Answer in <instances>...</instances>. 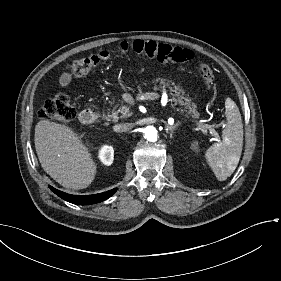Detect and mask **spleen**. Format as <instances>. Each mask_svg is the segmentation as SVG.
<instances>
[{"mask_svg":"<svg viewBox=\"0 0 281 281\" xmlns=\"http://www.w3.org/2000/svg\"><path fill=\"white\" fill-rule=\"evenodd\" d=\"M227 124L220 144L214 143L206 151V159L216 178L224 181L235 171L243 148V123L239 108L233 100L225 101Z\"/></svg>","mask_w":281,"mask_h":281,"instance_id":"1","label":"spleen"}]
</instances>
